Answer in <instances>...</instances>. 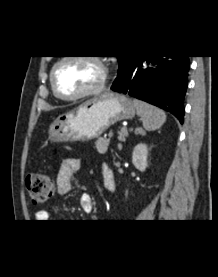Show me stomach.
<instances>
[{
  "label": "stomach",
  "mask_w": 218,
  "mask_h": 277,
  "mask_svg": "<svg viewBox=\"0 0 218 277\" xmlns=\"http://www.w3.org/2000/svg\"><path fill=\"white\" fill-rule=\"evenodd\" d=\"M135 109L128 97L105 92L60 115L50 125L49 139L52 142H74L98 138L116 122L134 117Z\"/></svg>",
  "instance_id": "stomach-1"
}]
</instances>
